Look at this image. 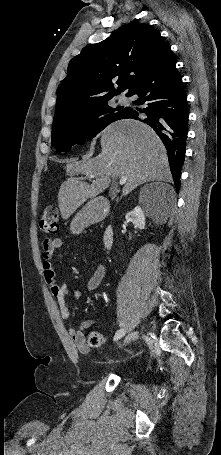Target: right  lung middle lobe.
Segmentation results:
<instances>
[{"instance_id": "obj_1", "label": "right lung middle lobe", "mask_w": 221, "mask_h": 455, "mask_svg": "<svg viewBox=\"0 0 221 455\" xmlns=\"http://www.w3.org/2000/svg\"><path fill=\"white\" fill-rule=\"evenodd\" d=\"M129 108L116 109L104 101L83 112L53 123L52 146L60 152H68L75 144L92 139L110 123L122 119ZM119 110V111H117Z\"/></svg>"}]
</instances>
